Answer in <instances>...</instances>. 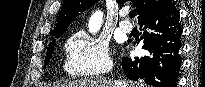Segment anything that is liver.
<instances>
[{
  "label": "liver",
  "mask_w": 205,
  "mask_h": 87,
  "mask_svg": "<svg viewBox=\"0 0 205 87\" xmlns=\"http://www.w3.org/2000/svg\"><path fill=\"white\" fill-rule=\"evenodd\" d=\"M125 87H144V84H127L123 82ZM54 87H114V82L111 80L96 78L90 80H77L69 83H64L60 85H55Z\"/></svg>",
  "instance_id": "6515ba94"
}]
</instances>
